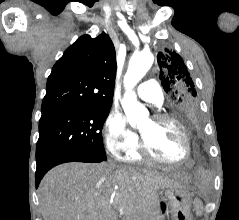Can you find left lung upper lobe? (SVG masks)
I'll use <instances>...</instances> for the list:
<instances>
[{
	"label": "left lung upper lobe",
	"mask_w": 239,
	"mask_h": 220,
	"mask_svg": "<svg viewBox=\"0 0 239 220\" xmlns=\"http://www.w3.org/2000/svg\"><path fill=\"white\" fill-rule=\"evenodd\" d=\"M160 80L170 99L171 113L179 118L191 113L199 114L197 92L187 66L175 50L159 52Z\"/></svg>",
	"instance_id": "1"
}]
</instances>
